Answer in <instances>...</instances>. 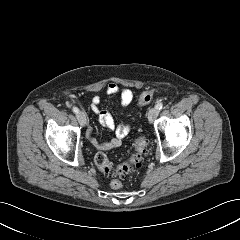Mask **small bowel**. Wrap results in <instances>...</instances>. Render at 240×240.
Here are the masks:
<instances>
[{
  "label": "small bowel",
  "mask_w": 240,
  "mask_h": 240,
  "mask_svg": "<svg viewBox=\"0 0 240 240\" xmlns=\"http://www.w3.org/2000/svg\"><path fill=\"white\" fill-rule=\"evenodd\" d=\"M105 91L108 95H119L120 104L122 107H127L133 100V92L126 87H120L116 83L110 82L107 84ZM101 98L95 95L91 99L90 108L93 113L98 116L99 122L114 132V137L108 141H98L93 136V130L91 128L87 131V138L90 143L98 150H108L121 146L122 139L126 137L131 126L129 124H116L112 114L100 107Z\"/></svg>",
  "instance_id": "obj_1"
}]
</instances>
